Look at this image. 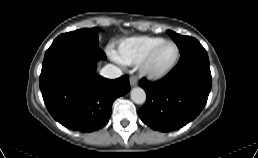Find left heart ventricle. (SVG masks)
Segmentation results:
<instances>
[{
	"mask_svg": "<svg viewBox=\"0 0 258 158\" xmlns=\"http://www.w3.org/2000/svg\"><path fill=\"white\" fill-rule=\"evenodd\" d=\"M176 56V49L175 47L170 44L166 43L161 45L153 57L149 62V69L152 71H160L166 68L169 64L173 62Z\"/></svg>",
	"mask_w": 258,
	"mask_h": 158,
	"instance_id": "left-heart-ventricle-1",
	"label": "left heart ventricle"
}]
</instances>
